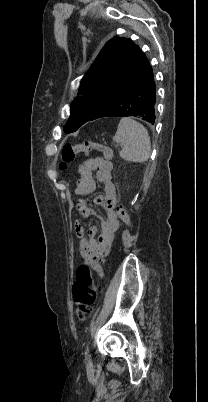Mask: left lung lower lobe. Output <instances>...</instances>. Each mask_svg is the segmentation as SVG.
Masks as SVG:
<instances>
[{
  "label": "left lung lower lobe",
  "mask_w": 208,
  "mask_h": 402,
  "mask_svg": "<svg viewBox=\"0 0 208 402\" xmlns=\"http://www.w3.org/2000/svg\"><path fill=\"white\" fill-rule=\"evenodd\" d=\"M144 63L119 94L118 99L106 108L101 117L133 116L154 124L156 112V84L152 67L144 54Z\"/></svg>",
  "instance_id": "1"
}]
</instances>
